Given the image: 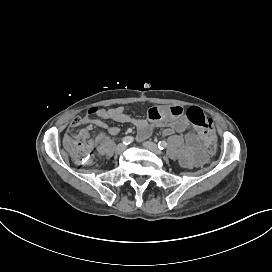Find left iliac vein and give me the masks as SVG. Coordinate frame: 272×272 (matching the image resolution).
<instances>
[{
	"label": "left iliac vein",
	"instance_id": "1",
	"mask_svg": "<svg viewBox=\"0 0 272 272\" xmlns=\"http://www.w3.org/2000/svg\"><path fill=\"white\" fill-rule=\"evenodd\" d=\"M144 147L152 152H154L155 154L157 155H160L161 154V150L158 148V146L151 142V141H146L144 143Z\"/></svg>",
	"mask_w": 272,
	"mask_h": 272
}]
</instances>
